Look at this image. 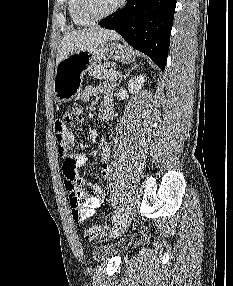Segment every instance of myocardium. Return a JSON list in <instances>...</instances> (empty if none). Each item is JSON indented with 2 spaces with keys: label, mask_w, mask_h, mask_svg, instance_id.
<instances>
[{
  "label": "myocardium",
  "mask_w": 233,
  "mask_h": 286,
  "mask_svg": "<svg viewBox=\"0 0 233 286\" xmlns=\"http://www.w3.org/2000/svg\"><path fill=\"white\" fill-rule=\"evenodd\" d=\"M125 1L126 0H118L117 3L108 11L99 15H94L89 10L88 0H78L79 12L88 21L97 22L114 14L124 5Z\"/></svg>",
  "instance_id": "1"
}]
</instances>
